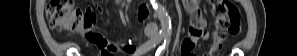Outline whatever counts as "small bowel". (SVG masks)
Instances as JSON below:
<instances>
[{"label":"small bowel","mask_w":297,"mask_h":56,"mask_svg":"<svg viewBox=\"0 0 297 56\" xmlns=\"http://www.w3.org/2000/svg\"><path fill=\"white\" fill-rule=\"evenodd\" d=\"M123 3L121 0H115V4L120 6ZM185 8L190 12L192 19L190 23L189 36L184 39L180 45L182 56H194L193 48L199 39H208L209 33L206 30V20L199 13L198 2L195 0L185 1ZM148 15V10L143 8L140 12V18L145 19ZM85 41L88 45H94V49H101L102 56H110L115 50L122 51L128 55H142L137 52L132 46L121 43L108 41V36H103V33H84Z\"/></svg>","instance_id":"obj_1"}]
</instances>
